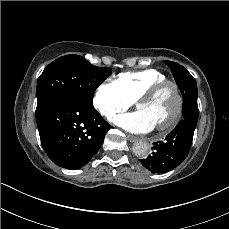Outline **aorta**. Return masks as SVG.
I'll use <instances>...</instances> for the list:
<instances>
[{
    "mask_svg": "<svg viewBox=\"0 0 229 229\" xmlns=\"http://www.w3.org/2000/svg\"><path fill=\"white\" fill-rule=\"evenodd\" d=\"M133 153L137 157H146L149 154V144L145 141H136L132 147Z\"/></svg>",
    "mask_w": 229,
    "mask_h": 229,
    "instance_id": "aorta-1",
    "label": "aorta"
}]
</instances>
